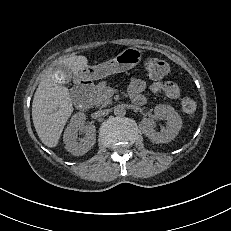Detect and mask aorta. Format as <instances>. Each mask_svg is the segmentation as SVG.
<instances>
[{"label": "aorta", "mask_w": 231, "mask_h": 231, "mask_svg": "<svg viewBox=\"0 0 231 231\" xmlns=\"http://www.w3.org/2000/svg\"><path fill=\"white\" fill-rule=\"evenodd\" d=\"M126 114L124 106L118 105L114 108V115L117 117H123Z\"/></svg>", "instance_id": "762f6f07"}]
</instances>
